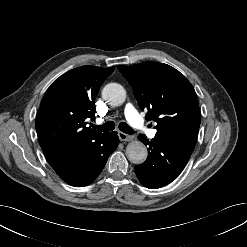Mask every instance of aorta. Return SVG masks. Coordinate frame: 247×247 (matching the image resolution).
<instances>
[{
  "label": "aorta",
  "instance_id": "aorta-1",
  "mask_svg": "<svg viewBox=\"0 0 247 247\" xmlns=\"http://www.w3.org/2000/svg\"><path fill=\"white\" fill-rule=\"evenodd\" d=\"M102 98L111 106H119L126 99V91L118 83H109L102 90ZM148 155L146 146L138 141L130 142L126 147V156L134 164L143 163Z\"/></svg>",
  "mask_w": 247,
  "mask_h": 247
}]
</instances>
